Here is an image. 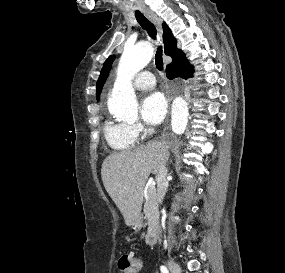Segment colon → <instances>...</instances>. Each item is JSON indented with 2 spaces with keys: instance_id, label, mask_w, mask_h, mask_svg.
<instances>
[{
  "instance_id": "5ec220e1",
  "label": "colon",
  "mask_w": 285,
  "mask_h": 273,
  "mask_svg": "<svg viewBox=\"0 0 285 273\" xmlns=\"http://www.w3.org/2000/svg\"><path fill=\"white\" fill-rule=\"evenodd\" d=\"M142 260L138 256L125 255L118 261L120 273H138Z\"/></svg>"
}]
</instances>
